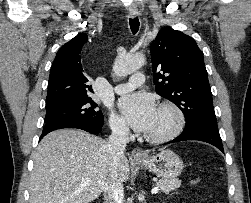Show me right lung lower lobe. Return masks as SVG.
<instances>
[{"mask_svg":"<svg viewBox=\"0 0 251 203\" xmlns=\"http://www.w3.org/2000/svg\"><path fill=\"white\" fill-rule=\"evenodd\" d=\"M62 128H77L92 134H98L102 130L101 125L95 124L83 118H64L46 123L40 139H42L49 132Z\"/></svg>","mask_w":251,"mask_h":203,"instance_id":"obj_1","label":"right lung lower lobe"}]
</instances>
